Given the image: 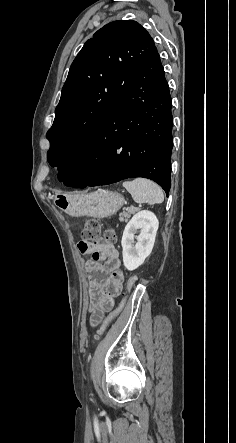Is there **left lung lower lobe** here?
<instances>
[{
	"label": "left lung lower lobe",
	"mask_w": 236,
	"mask_h": 443,
	"mask_svg": "<svg viewBox=\"0 0 236 443\" xmlns=\"http://www.w3.org/2000/svg\"><path fill=\"white\" fill-rule=\"evenodd\" d=\"M171 107L169 86L155 49L76 157L60 170L59 181L85 188L144 177L157 182L168 195Z\"/></svg>",
	"instance_id": "left-lung-lower-lobe-1"
}]
</instances>
